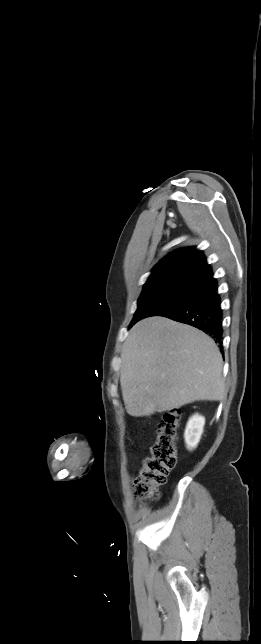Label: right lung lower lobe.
<instances>
[{
    "mask_svg": "<svg viewBox=\"0 0 261 644\" xmlns=\"http://www.w3.org/2000/svg\"><path fill=\"white\" fill-rule=\"evenodd\" d=\"M160 316L194 326L222 345V310L213 276L201 283L185 302Z\"/></svg>",
    "mask_w": 261,
    "mask_h": 644,
    "instance_id": "right-lung-lower-lobe-1",
    "label": "right lung lower lobe"
}]
</instances>
